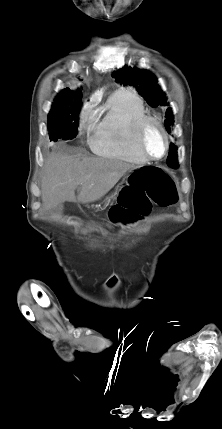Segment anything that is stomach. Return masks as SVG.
Listing matches in <instances>:
<instances>
[{
	"label": "stomach",
	"instance_id": "0dacf381",
	"mask_svg": "<svg viewBox=\"0 0 222 429\" xmlns=\"http://www.w3.org/2000/svg\"><path fill=\"white\" fill-rule=\"evenodd\" d=\"M132 174H133V173H131V174L127 177V180H126V186H120L119 188H117V189H116V191L114 192V194H112V195H111V196H109V197H106V199H105V203H109L111 200H116V199H117V197L120 195L121 189H125V188L127 187L128 183H129V181H130V178L132 177Z\"/></svg>",
	"mask_w": 222,
	"mask_h": 429
}]
</instances>
